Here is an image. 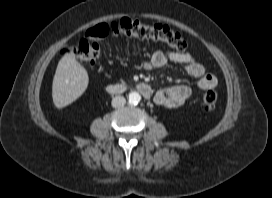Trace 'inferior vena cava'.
I'll return each mask as SVG.
<instances>
[{
	"label": "inferior vena cava",
	"mask_w": 272,
	"mask_h": 198,
	"mask_svg": "<svg viewBox=\"0 0 272 198\" xmlns=\"http://www.w3.org/2000/svg\"><path fill=\"white\" fill-rule=\"evenodd\" d=\"M125 103H126V99L123 96H115L112 99L111 105L114 108H118L125 105Z\"/></svg>",
	"instance_id": "1"
}]
</instances>
